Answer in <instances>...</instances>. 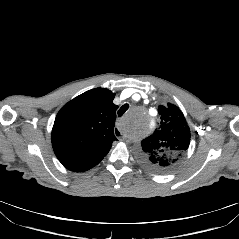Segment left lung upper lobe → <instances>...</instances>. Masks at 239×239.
I'll use <instances>...</instances> for the list:
<instances>
[{"label":"left lung upper lobe","mask_w":239,"mask_h":239,"mask_svg":"<svg viewBox=\"0 0 239 239\" xmlns=\"http://www.w3.org/2000/svg\"><path fill=\"white\" fill-rule=\"evenodd\" d=\"M160 127L142 141V163L149 169L164 173L174 169L186 153L190 129L181 110L174 104L160 105Z\"/></svg>","instance_id":"left-lung-upper-lobe-1"}]
</instances>
